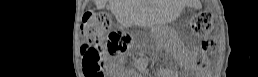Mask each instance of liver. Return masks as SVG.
Wrapping results in <instances>:
<instances>
[{
	"label": "liver",
	"mask_w": 258,
	"mask_h": 77,
	"mask_svg": "<svg viewBox=\"0 0 258 77\" xmlns=\"http://www.w3.org/2000/svg\"><path fill=\"white\" fill-rule=\"evenodd\" d=\"M94 2L97 9H102L107 0H95ZM109 5L121 24L130 26L136 22L139 8L138 3L134 0H109Z\"/></svg>",
	"instance_id": "6515ba94"
}]
</instances>
